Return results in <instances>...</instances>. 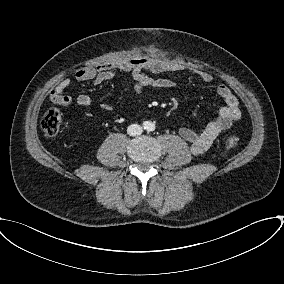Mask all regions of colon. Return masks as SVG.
<instances>
[{
    "mask_svg": "<svg viewBox=\"0 0 284 284\" xmlns=\"http://www.w3.org/2000/svg\"><path fill=\"white\" fill-rule=\"evenodd\" d=\"M62 115L56 108L48 109L42 116L40 125L47 136H55L59 133L61 127ZM238 145V138L229 137L227 140V149L232 150Z\"/></svg>",
    "mask_w": 284,
    "mask_h": 284,
    "instance_id": "5ec220e1",
    "label": "colon"
}]
</instances>
